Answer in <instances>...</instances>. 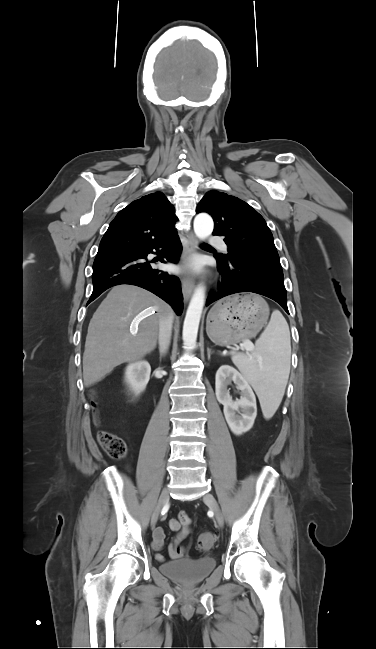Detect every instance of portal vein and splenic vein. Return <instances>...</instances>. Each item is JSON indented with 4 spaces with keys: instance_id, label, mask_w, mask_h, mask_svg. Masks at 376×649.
<instances>
[{
    "instance_id": "obj_1",
    "label": "portal vein and splenic vein",
    "mask_w": 376,
    "mask_h": 649,
    "mask_svg": "<svg viewBox=\"0 0 376 649\" xmlns=\"http://www.w3.org/2000/svg\"><path fill=\"white\" fill-rule=\"evenodd\" d=\"M243 347H244L246 350H251L252 345H251V343H250L249 341H245V342L243 343Z\"/></svg>"
}]
</instances>
